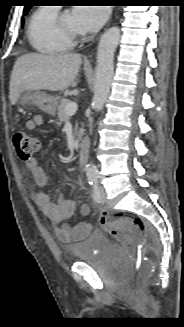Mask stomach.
<instances>
[{
  "label": "stomach",
  "mask_w": 184,
  "mask_h": 327,
  "mask_svg": "<svg viewBox=\"0 0 184 327\" xmlns=\"http://www.w3.org/2000/svg\"><path fill=\"white\" fill-rule=\"evenodd\" d=\"M22 106L36 105L43 112L54 116L57 109V99L42 91H24L18 99Z\"/></svg>",
  "instance_id": "stomach-1"
}]
</instances>
